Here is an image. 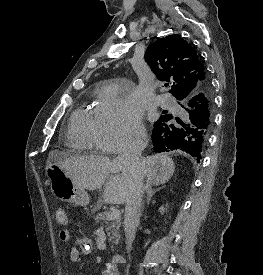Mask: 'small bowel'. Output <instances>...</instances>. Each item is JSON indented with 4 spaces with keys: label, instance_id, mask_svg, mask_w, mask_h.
<instances>
[{
    "label": "small bowel",
    "instance_id": "1",
    "mask_svg": "<svg viewBox=\"0 0 263 275\" xmlns=\"http://www.w3.org/2000/svg\"><path fill=\"white\" fill-rule=\"evenodd\" d=\"M68 238L64 239L62 237V231L60 232V237L64 241H68L71 238V232L66 229ZM92 249V242L88 237H80L78 238L76 244L71 247L69 251V258L72 262L78 263L81 262L83 257L88 255ZM103 275H117V269L112 270L108 266H106L103 271Z\"/></svg>",
    "mask_w": 263,
    "mask_h": 275
}]
</instances>
